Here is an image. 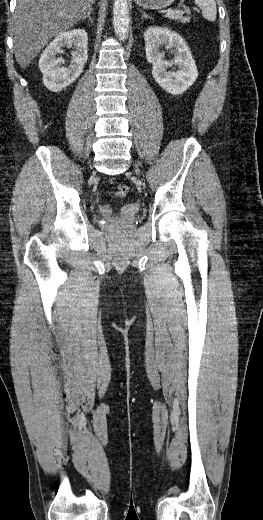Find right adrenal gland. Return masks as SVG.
Masks as SVG:
<instances>
[{
  "label": "right adrenal gland",
  "mask_w": 263,
  "mask_h": 520,
  "mask_svg": "<svg viewBox=\"0 0 263 520\" xmlns=\"http://www.w3.org/2000/svg\"><path fill=\"white\" fill-rule=\"evenodd\" d=\"M93 12V9L92 8H89L88 12H87V15H85L83 18H82V21L86 20V19H89L90 22L92 23L93 22V19L91 17V14Z\"/></svg>",
  "instance_id": "2a0ac1e0"
}]
</instances>
